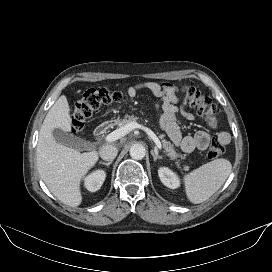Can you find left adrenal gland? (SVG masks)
Wrapping results in <instances>:
<instances>
[{"instance_id":"1","label":"left adrenal gland","mask_w":272,"mask_h":272,"mask_svg":"<svg viewBox=\"0 0 272 272\" xmlns=\"http://www.w3.org/2000/svg\"><path fill=\"white\" fill-rule=\"evenodd\" d=\"M151 155L153 156L154 161L156 162L157 159H162V156L155 153L154 150H151Z\"/></svg>"}]
</instances>
